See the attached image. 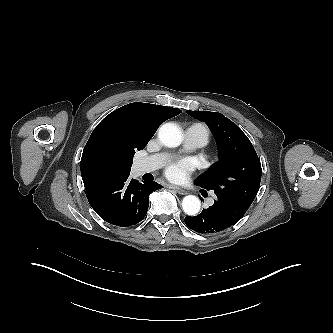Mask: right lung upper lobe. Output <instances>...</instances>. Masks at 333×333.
<instances>
[{
	"label": "right lung upper lobe",
	"mask_w": 333,
	"mask_h": 333,
	"mask_svg": "<svg viewBox=\"0 0 333 333\" xmlns=\"http://www.w3.org/2000/svg\"><path fill=\"white\" fill-rule=\"evenodd\" d=\"M182 111L155 104L134 102L107 115L92 132L81 159L85 189L110 179L128 175L127 168L109 153L113 144L146 146L157 128Z\"/></svg>",
	"instance_id": "obj_1"
}]
</instances>
